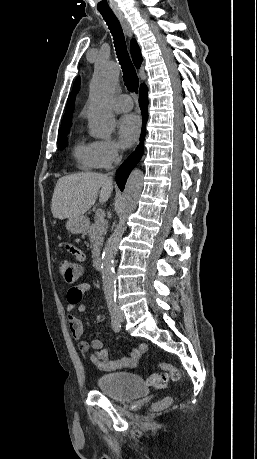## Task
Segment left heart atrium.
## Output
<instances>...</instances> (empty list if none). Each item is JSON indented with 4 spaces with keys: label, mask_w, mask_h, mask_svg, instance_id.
Here are the masks:
<instances>
[{
    "label": "left heart atrium",
    "mask_w": 257,
    "mask_h": 459,
    "mask_svg": "<svg viewBox=\"0 0 257 459\" xmlns=\"http://www.w3.org/2000/svg\"><path fill=\"white\" fill-rule=\"evenodd\" d=\"M141 123L138 116L126 114L118 122V135L121 143L128 147L133 145L140 133Z\"/></svg>",
    "instance_id": "obj_1"
}]
</instances>
